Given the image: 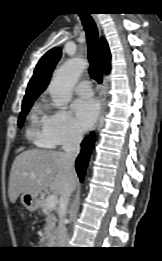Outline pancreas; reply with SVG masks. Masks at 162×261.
I'll return each mask as SVG.
<instances>
[{"mask_svg": "<svg viewBox=\"0 0 162 261\" xmlns=\"http://www.w3.org/2000/svg\"><path fill=\"white\" fill-rule=\"evenodd\" d=\"M41 210L43 214L46 216V225L44 228V236L42 237V242H50L58 234V227H57V218L53 213V209L47 206L46 200L41 202Z\"/></svg>", "mask_w": 162, "mask_h": 261, "instance_id": "pancreas-1", "label": "pancreas"}]
</instances>
